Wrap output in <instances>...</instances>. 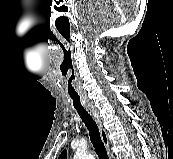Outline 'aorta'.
Masks as SVG:
<instances>
[{
  "mask_svg": "<svg viewBox=\"0 0 173 159\" xmlns=\"http://www.w3.org/2000/svg\"><path fill=\"white\" fill-rule=\"evenodd\" d=\"M74 159H95L92 155H88L83 151L78 150L75 155Z\"/></svg>",
  "mask_w": 173,
  "mask_h": 159,
  "instance_id": "aorta-1",
  "label": "aorta"
}]
</instances>
